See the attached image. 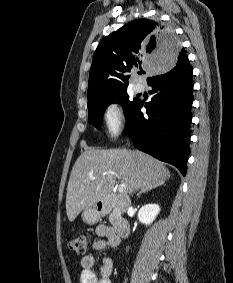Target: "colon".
I'll return each mask as SVG.
<instances>
[{"mask_svg": "<svg viewBox=\"0 0 233 283\" xmlns=\"http://www.w3.org/2000/svg\"><path fill=\"white\" fill-rule=\"evenodd\" d=\"M90 238L88 234L79 235L68 242V248L75 252L78 255H82L85 253Z\"/></svg>", "mask_w": 233, "mask_h": 283, "instance_id": "colon-1", "label": "colon"}]
</instances>
